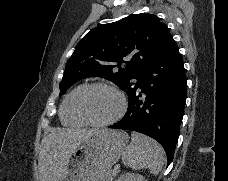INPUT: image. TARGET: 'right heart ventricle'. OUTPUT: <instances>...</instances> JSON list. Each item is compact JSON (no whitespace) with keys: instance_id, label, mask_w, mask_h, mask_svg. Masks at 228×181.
<instances>
[{"instance_id":"obj_1","label":"right heart ventricle","mask_w":228,"mask_h":181,"mask_svg":"<svg viewBox=\"0 0 228 181\" xmlns=\"http://www.w3.org/2000/svg\"><path fill=\"white\" fill-rule=\"evenodd\" d=\"M85 87L84 84L79 85L66 97L61 110V119L65 125L80 127L85 124V122L78 116L76 110L77 98Z\"/></svg>"}]
</instances>
